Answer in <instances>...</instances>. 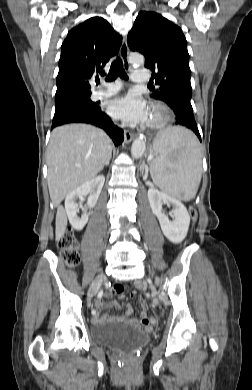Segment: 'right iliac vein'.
<instances>
[{"label": "right iliac vein", "instance_id": "obj_1", "mask_svg": "<svg viewBox=\"0 0 252 390\" xmlns=\"http://www.w3.org/2000/svg\"><path fill=\"white\" fill-rule=\"evenodd\" d=\"M104 274H99L95 280L93 281L92 285L89 288L88 291V300L90 301L93 296H95L101 287L102 282L105 280Z\"/></svg>", "mask_w": 252, "mask_h": 390}]
</instances>
